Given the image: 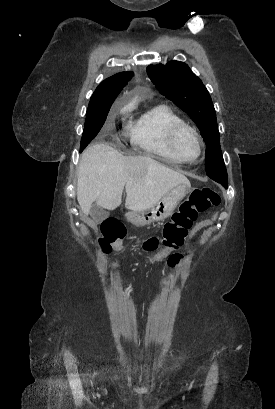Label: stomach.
<instances>
[{
	"label": "stomach",
	"mask_w": 275,
	"mask_h": 409,
	"mask_svg": "<svg viewBox=\"0 0 275 409\" xmlns=\"http://www.w3.org/2000/svg\"><path fill=\"white\" fill-rule=\"evenodd\" d=\"M190 190V182L185 184V182H180L174 188H171L167 194H164L158 202H155L153 207L150 209H145V211H138V213H127L126 219L132 225L136 227H145V225H151V223H160L164 221L167 217L172 215L175 211L177 205H179L180 200L188 194Z\"/></svg>",
	"instance_id": "0dacf381"
}]
</instances>
